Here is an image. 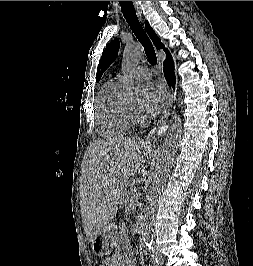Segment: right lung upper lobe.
Returning <instances> with one entry per match:
<instances>
[{"mask_svg": "<svg viewBox=\"0 0 253 266\" xmlns=\"http://www.w3.org/2000/svg\"><path fill=\"white\" fill-rule=\"evenodd\" d=\"M145 28H146V31H147L148 35L152 39L155 47L157 49H163L166 52V57H169L170 56L169 51L164 47V45L162 44L161 40L158 38V36L154 32V30L150 27V25H149V23L147 21L145 22Z\"/></svg>", "mask_w": 253, "mask_h": 266, "instance_id": "right-lung-upper-lobe-1", "label": "right lung upper lobe"}]
</instances>
